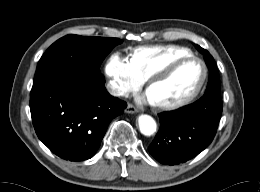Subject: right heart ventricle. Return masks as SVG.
Segmentation results:
<instances>
[{
    "label": "right heart ventricle",
    "mask_w": 260,
    "mask_h": 192,
    "mask_svg": "<svg viewBox=\"0 0 260 192\" xmlns=\"http://www.w3.org/2000/svg\"><path fill=\"white\" fill-rule=\"evenodd\" d=\"M184 55L176 49L142 48L133 55L131 63L138 75L143 79H147L153 73Z\"/></svg>",
    "instance_id": "right-heart-ventricle-1"
}]
</instances>
